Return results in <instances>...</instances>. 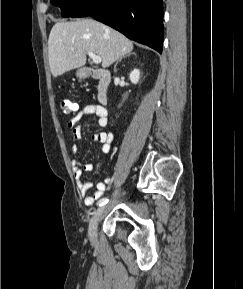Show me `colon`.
Here are the masks:
<instances>
[{
	"label": "colon",
	"mask_w": 243,
	"mask_h": 289,
	"mask_svg": "<svg viewBox=\"0 0 243 289\" xmlns=\"http://www.w3.org/2000/svg\"><path fill=\"white\" fill-rule=\"evenodd\" d=\"M60 107L62 112L66 115L75 114L78 109V105L70 99L62 100L60 102Z\"/></svg>",
	"instance_id": "colon-1"
}]
</instances>
